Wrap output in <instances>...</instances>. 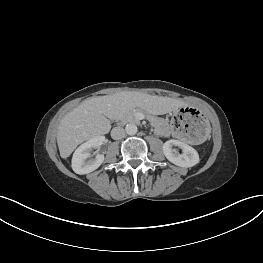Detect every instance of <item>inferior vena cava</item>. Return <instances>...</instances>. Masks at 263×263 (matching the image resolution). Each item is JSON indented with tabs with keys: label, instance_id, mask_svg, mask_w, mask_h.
<instances>
[{
	"label": "inferior vena cava",
	"instance_id": "1",
	"mask_svg": "<svg viewBox=\"0 0 263 263\" xmlns=\"http://www.w3.org/2000/svg\"><path fill=\"white\" fill-rule=\"evenodd\" d=\"M111 137L115 140L125 137V130L122 127H114L111 131Z\"/></svg>",
	"mask_w": 263,
	"mask_h": 263
}]
</instances>
